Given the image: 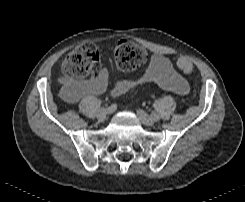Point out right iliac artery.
Wrapping results in <instances>:
<instances>
[{
    "instance_id": "1",
    "label": "right iliac artery",
    "mask_w": 245,
    "mask_h": 202,
    "mask_svg": "<svg viewBox=\"0 0 245 202\" xmlns=\"http://www.w3.org/2000/svg\"><path fill=\"white\" fill-rule=\"evenodd\" d=\"M117 108L116 104H111L109 107H107V109L109 110L110 113H112L113 111H115Z\"/></svg>"
}]
</instances>
